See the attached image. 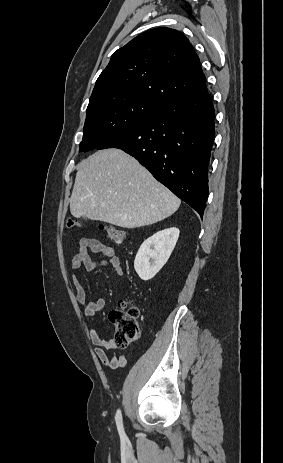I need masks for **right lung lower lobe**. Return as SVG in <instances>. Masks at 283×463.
Listing matches in <instances>:
<instances>
[{
  "label": "right lung lower lobe",
  "instance_id": "right-lung-lower-lobe-1",
  "mask_svg": "<svg viewBox=\"0 0 283 463\" xmlns=\"http://www.w3.org/2000/svg\"><path fill=\"white\" fill-rule=\"evenodd\" d=\"M214 136V107L205 92L160 106L97 149L119 148L135 157L202 218Z\"/></svg>",
  "mask_w": 283,
  "mask_h": 463
}]
</instances>
